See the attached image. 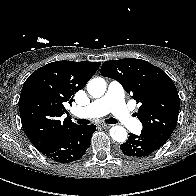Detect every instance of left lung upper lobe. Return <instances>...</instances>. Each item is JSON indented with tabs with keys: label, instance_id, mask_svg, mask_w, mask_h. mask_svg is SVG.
<instances>
[{
	"label": "left lung upper lobe",
	"instance_id": "5c2ea615",
	"mask_svg": "<svg viewBox=\"0 0 196 196\" xmlns=\"http://www.w3.org/2000/svg\"><path fill=\"white\" fill-rule=\"evenodd\" d=\"M101 75L119 81L141 104L136 113L141 134L164 145L176 127L180 98L172 79L160 68L135 58L106 61Z\"/></svg>",
	"mask_w": 196,
	"mask_h": 196
}]
</instances>
